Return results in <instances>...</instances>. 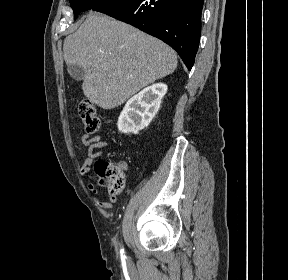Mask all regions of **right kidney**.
Segmentation results:
<instances>
[{
  "instance_id": "right-kidney-1",
  "label": "right kidney",
  "mask_w": 288,
  "mask_h": 280,
  "mask_svg": "<svg viewBox=\"0 0 288 280\" xmlns=\"http://www.w3.org/2000/svg\"><path fill=\"white\" fill-rule=\"evenodd\" d=\"M166 92V84L156 83L130 98L118 118L119 131L138 134L147 127L158 112Z\"/></svg>"
}]
</instances>
